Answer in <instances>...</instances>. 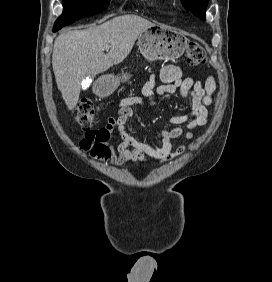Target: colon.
Returning a JSON list of instances; mask_svg holds the SVG:
<instances>
[{"mask_svg":"<svg viewBox=\"0 0 272 282\" xmlns=\"http://www.w3.org/2000/svg\"><path fill=\"white\" fill-rule=\"evenodd\" d=\"M185 58L189 64L199 66L205 63L206 52L200 44L189 42L186 47ZM99 111V107L92 99H82L77 104L73 117L81 127L87 129L94 124ZM110 137L111 131L108 128H100L88 131L79 144L82 148L88 150L92 157L107 160L111 155L108 147Z\"/></svg>","mask_w":272,"mask_h":282,"instance_id":"colon-1","label":"colon"}]
</instances>
